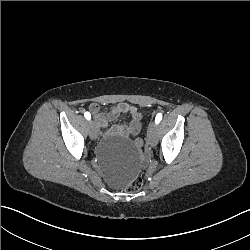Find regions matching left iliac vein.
I'll list each match as a JSON object with an SVG mask.
<instances>
[{
    "mask_svg": "<svg viewBox=\"0 0 250 250\" xmlns=\"http://www.w3.org/2000/svg\"><path fill=\"white\" fill-rule=\"evenodd\" d=\"M147 140L151 146H155L157 143V126L156 122H151L147 130Z\"/></svg>",
    "mask_w": 250,
    "mask_h": 250,
    "instance_id": "4c4485c4",
    "label": "left iliac vein"
}]
</instances>
